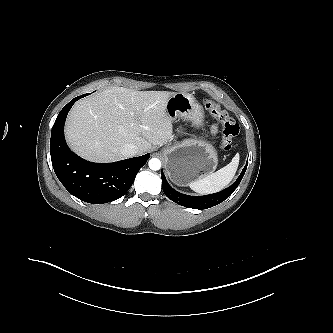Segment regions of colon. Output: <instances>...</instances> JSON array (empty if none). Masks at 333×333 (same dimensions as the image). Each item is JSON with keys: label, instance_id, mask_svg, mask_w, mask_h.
Instances as JSON below:
<instances>
[{"label": "colon", "instance_id": "obj_1", "mask_svg": "<svg viewBox=\"0 0 333 333\" xmlns=\"http://www.w3.org/2000/svg\"><path fill=\"white\" fill-rule=\"evenodd\" d=\"M203 104L206 110H208V112L222 124L221 148L224 151L231 150L232 140L239 132L238 124L228 115L225 110H222L220 105L214 100L204 98Z\"/></svg>", "mask_w": 333, "mask_h": 333}]
</instances>
